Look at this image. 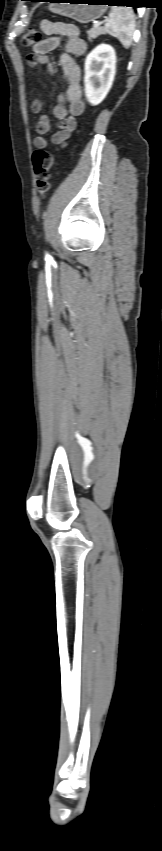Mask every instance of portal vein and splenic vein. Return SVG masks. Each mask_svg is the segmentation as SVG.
<instances>
[{
    "label": "portal vein and splenic vein",
    "instance_id": "18ae733b",
    "mask_svg": "<svg viewBox=\"0 0 162 851\" xmlns=\"http://www.w3.org/2000/svg\"><path fill=\"white\" fill-rule=\"evenodd\" d=\"M104 22H105V21H103V22H96L93 26H94V27H98L100 24H102V23H104Z\"/></svg>",
    "mask_w": 162,
    "mask_h": 851
}]
</instances>
